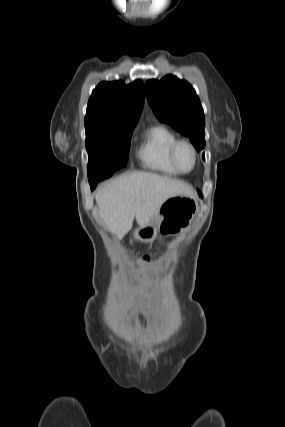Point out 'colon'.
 <instances>
[{"label":"colon","mask_w":285,"mask_h":427,"mask_svg":"<svg viewBox=\"0 0 285 427\" xmlns=\"http://www.w3.org/2000/svg\"><path fill=\"white\" fill-rule=\"evenodd\" d=\"M150 264H151V260H150V258H148V257H143V258L141 259V261H140V265H139V267H140L141 269H144V268L148 267Z\"/></svg>","instance_id":"obj_1"}]
</instances>
